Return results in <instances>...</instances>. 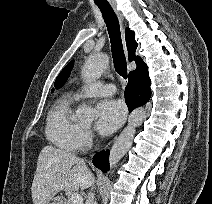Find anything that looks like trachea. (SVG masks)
<instances>
[{
    "mask_svg": "<svg viewBox=\"0 0 212 204\" xmlns=\"http://www.w3.org/2000/svg\"><path fill=\"white\" fill-rule=\"evenodd\" d=\"M106 23L116 72L124 79L127 78L126 58L123 51L118 18L110 5H97Z\"/></svg>",
    "mask_w": 212,
    "mask_h": 204,
    "instance_id": "3493384b",
    "label": "trachea"
}]
</instances>
